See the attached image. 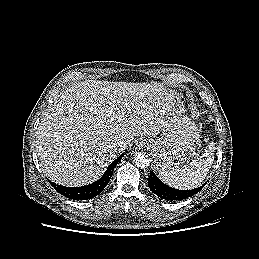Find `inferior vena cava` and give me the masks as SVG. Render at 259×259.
<instances>
[{
    "label": "inferior vena cava",
    "instance_id": "inferior-vena-cava-1",
    "mask_svg": "<svg viewBox=\"0 0 259 259\" xmlns=\"http://www.w3.org/2000/svg\"><path fill=\"white\" fill-rule=\"evenodd\" d=\"M114 149H118L119 151H122L123 149H125L126 144L125 143H116L114 146H112Z\"/></svg>",
    "mask_w": 259,
    "mask_h": 259
}]
</instances>
